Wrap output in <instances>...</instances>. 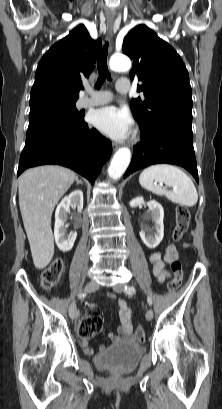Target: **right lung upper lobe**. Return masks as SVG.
I'll return each mask as SVG.
<instances>
[{"label": "right lung upper lobe", "mask_w": 222, "mask_h": 409, "mask_svg": "<svg viewBox=\"0 0 222 409\" xmlns=\"http://www.w3.org/2000/svg\"><path fill=\"white\" fill-rule=\"evenodd\" d=\"M100 48L101 39L93 40L84 25L55 43L38 64L30 108L51 102H76L83 89L81 78L89 76Z\"/></svg>", "instance_id": "right-lung-upper-lobe-1"}]
</instances>
